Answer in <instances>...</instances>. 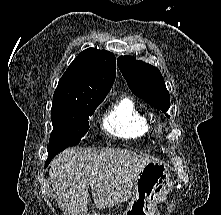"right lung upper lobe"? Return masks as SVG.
I'll return each instance as SVG.
<instances>
[{"instance_id":"1","label":"right lung upper lobe","mask_w":221,"mask_h":215,"mask_svg":"<svg viewBox=\"0 0 221 215\" xmlns=\"http://www.w3.org/2000/svg\"><path fill=\"white\" fill-rule=\"evenodd\" d=\"M115 76L113 53L88 48L74 59L61 77L54 92L53 105L104 100Z\"/></svg>"}]
</instances>
